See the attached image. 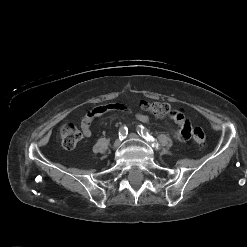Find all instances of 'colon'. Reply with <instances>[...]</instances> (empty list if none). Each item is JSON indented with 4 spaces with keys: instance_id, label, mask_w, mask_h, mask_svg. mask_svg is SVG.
Wrapping results in <instances>:
<instances>
[{
    "instance_id": "obj_1",
    "label": "colon",
    "mask_w": 247,
    "mask_h": 247,
    "mask_svg": "<svg viewBox=\"0 0 247 247\" xmlns=\"http://www.w3.org/2000/svg\"><path fill=\"white\" fill-rule=\"evenodd\" d=\"M141 108L156 117H166L173 115L176 111L172 110L167 103L142 101ZM190 136L197 146L205 143L206 135L201 127H194L190 130ZM82 134L80 130L72 123H66L60 128V139L65 149H73L80 141Z\"/></svg>"
}]
</instances>
